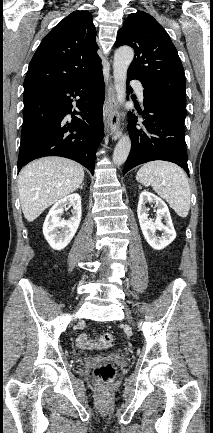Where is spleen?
Returning a JSON list of instances; mask_svg holds the SVG:
<instances>
[{
	"mask_svg": "<svg viewBox=\"0 0 213 433\" xmlns=\"http://www.w3.org/2000/svg\"><path fill=\"white\" fill-rule=\"evenodd\" d=\"M136 179L165 199L182 218L190 210V187L185 172L177 165L164 161L144 164L137 172Z\"/></svg>",
	"mask_w": 213,
	"mask_h": 433,
	"instance_id": "spleen-1",
	"label": "spleen"
}]
</instances>
